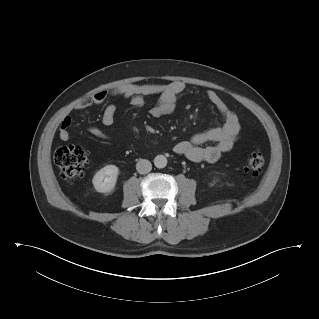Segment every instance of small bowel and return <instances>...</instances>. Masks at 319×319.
Listing matches in <instances>:
<instances>
[{
    "label": "small bowel",
    "instance_id": "c3829d8e",
    "mask_svg": "<svg viewBox=\"0 0 319 319\" xmlns=\"http://www.w3.org/2000/svg\"><path fill=\"white\" fill-rule=\"evenodd\" d=\"M185 89L186 84L179 80L169 83L124 84L95 92L79 101L75 105V109L85 110L94 105H102L111 96H122L129 99L133 106L141 107L144 105L147 96L158 95L157 103L151 109V114L158 118L165 117L174 112L177 98ZM207 97L215 110L222 116L223 124L199 131L193 134L190 139L177 142L173 148L176 154L194 162H216L219 160L232 150L241 130L238 116L229 109L215 91L209 90ZM115 115L116 106L114 104L106 105L101 116V123L106 127L113 125ZM71 125V117L65 116L58 131L61 141L70 139L69 129ZM89 132L97 138L109 139V136L98 126L90 127ZM208 142L215 144L205 146L204 144Z\"/></svg>",
    "mask_w": 319,
    "mask_h": 319
}]
</instances>
